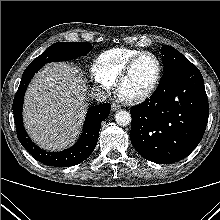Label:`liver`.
I'll list each match as a JSON object with an SVG mask.
<instances>
[{"label": "liver", "mask_w": 220, "mask_h": 220, "mask_svg": "<svg viewBox=\"0 0 220 220\" xmlns=\"http://www.w3.org/2000/svg\"><path fill=\"white\" fill-rule=\"evenodd\" d=\"M87 81L77 67L50 63L32 79L23 106L24 126L41 148L61 150L74 141L83 123Z\"/></svg>", "instance_id": "1"}]
</instances>
